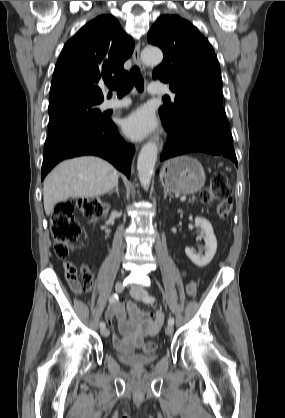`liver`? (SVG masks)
<instances>
[{"instance_id":"liver-1","label":"liver","mask_w":285,"mask_h":418,"mask_svg":"<svg viewBox=\"0 0 285 418\" xmlns=\"http://www.w3.org/2000/svg\"><path fill=\"white\" fill-rule=\"evenodd\" d=\"M118 178V171L98 157L63 161L44 180L45 213L49 216L58 202L70 197H97L108 193L118 184Z\"/></svg>"}]
</instances>
